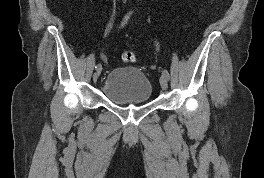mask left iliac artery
<instances>
[{
    "label": "left iliac artery",
    "mask_w": 264,
    "mask_h": 178,
    "mask_svg": "<svg viewBox=\"0 0 264 178\" xmlns=\"http://www.w3.org/2000/svg\"><path fill=\"white\" fill-rule=\"evenodd\" d=\"M162 74L169 79V72L166 69L163 70Z\"/></svg>",
    "instance_id": "1"
}]
</instances>
